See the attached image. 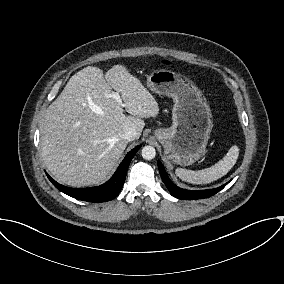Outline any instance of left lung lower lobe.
<instances>
[{"label":"left lung lower lobe","mask_w":284,"mask_h":284,"mask_svg":"<svg viewBox=\"0 0 284 284\" xmlns=\"http://www.w3.org/2000/svg\"><path fill=\"white\" fill-rule=\"evenodd\" d=\"M158 168L159 172L161 175V178L168 188L169 192L171 193L172 196L178 198V199H183V200H196V199H203L207 198L210 196H213L217 192H219L221 189H223L228 183L215 188L211 190H185L182 189L178 186H176L168 177L163 165L161 164L160 161H158Z\"/></svg>","instance_id":"obj_1"}]
</instances>
